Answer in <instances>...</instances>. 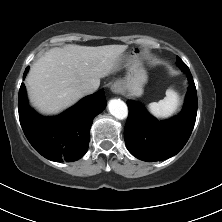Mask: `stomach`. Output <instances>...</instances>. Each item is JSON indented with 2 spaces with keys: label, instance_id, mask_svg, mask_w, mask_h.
<instances>
[{
  "label": "stomach",
  "instance_id": "0dacf381",
  "mask_svg": "<svg viewBox=\"0 0 222 222\" xmlns=\"http://www.w3.org/2000/svg\"><path fill=\"white\" fill-rule=\"evenodd\" d=\"M131 53L133 55H131ZM128 70L124 79L117 80L116 85L120 87L122 92H127L132 96H141L143 86L147 82V72L142 67L139 60L138 48H133L128 57Z\"/></svg>",
  "mask_w": 222,
  "mask_h": 222
}]
</instances>
